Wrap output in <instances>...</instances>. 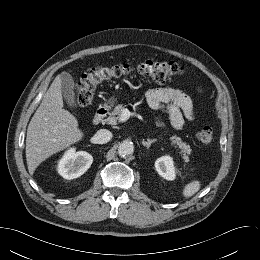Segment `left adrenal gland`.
I'll use <instances>...</instances> for the list:
<instances>
[{
	"mask_svg": "<svg viewBox=\"0 0 260 260\" xmlns=\"http://www.w3.org/2000/svg\"><path fill=\"white\" fill-rule=\"evenodd\" d=\"M156 142V139H147V141L143 140L142 141V144L147 147V149H149L150 145L152 143Z\"/></svg>",
	"mask_w": 260,
	"mask_h": 260,
	"instance_id": "obj_1",
	"label": "left adrenal gland"
}]
</instances>
